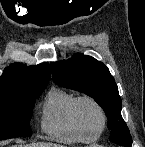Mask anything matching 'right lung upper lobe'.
Returning <instances> with one entry per match:
<instances>
[{
    "instance_id": "1",
    "label": "right lung upper lobe",
    "mask_w": 145,
    "mask_h": 147,
    "mask_svg": "<svg viewBox=\"0 0 145 147\" xmlns=\"http://www.w3.org/2000/svg\"><path fill=\"white\" fill-rule=\"evenodd\" d=\"M50 80V66L42 63L26 66L13 63L7 67L0 77V94L24 88L46 87Z\"/></svg>"
}]
</instances>
